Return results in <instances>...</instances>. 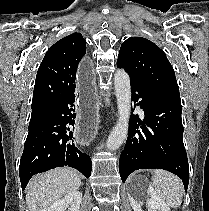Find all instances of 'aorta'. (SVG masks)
<instances>
[{
	"instance_id": "aorta-1",
	"label": "aorta",
	"mask_w": 209,
	"mask_h": 211,
	"mask_svg": "<svg viewBox=\"0 0 209 211\" xmlns=\"http://www.w3.org/2000/svg\"><path fill=\"white\" fill-rule=\"evenodd\" d=\"M115 93L119 118L107 139V149L116 150L124 142L128 134L131 112V86L129 75L122 69L114 75Z\"/></svg>"
}]
</instances>
